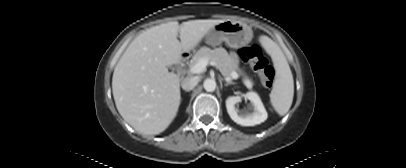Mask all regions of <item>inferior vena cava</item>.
I'll return each mask as SVG.
<instances>
[{"mask_svg":"<svg viewBox=\"0 0 406 168\" xmlns=\"http://www.w3.org/2000/svg\"><path fill=\"white\" fill-rule=\"evenodd\" d=\"M198 79L196 77H187L182 80L181 86L185 91H191L197 85Z\"/></svg>","mask_w":406,"mask_h":168,"instance_id":"602c4592","label":"inferior vena cava"}]
</instances>
